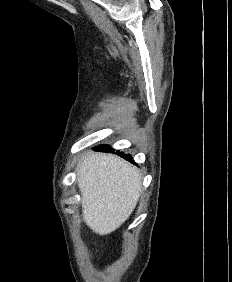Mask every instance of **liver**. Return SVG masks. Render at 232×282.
Here are the masks:
<instances>
[{
  "mask_svg": "<svg viewBox=\"0 0 232 282\" xmlns=\"http://www.w3.org/2000/svg\"><path fill=\"white\" fill-rule=\"evenodd\" d=\"M77 170L84 222L100 235L119 228L140 196L138 170L118 156L102 153L87 155Z\"/></svg>",
  "mask_w": 232,
  "mask_h": 282,
  "instance_id": "1",
  "label": "liver"
}]
</instances>
